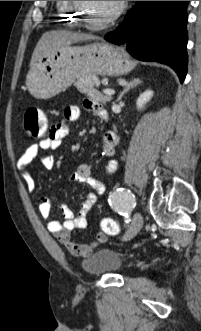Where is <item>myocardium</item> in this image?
I'll list each match as a JSON object with an SVG mask.
<instances>
[{
    "instance_id": "myocardium-1",
    "label": "myocardium",
    "mask_w": 201,
    "mask_h": 331,
    "mask_svg": "<svg viewBox=\"0 0 201 331\" xmlns=\"http://www.w3.org/2000/svg\"><path fill=\"white\" fill-rule=\"evenodd\" d=\"M72 5L77 10V13H78L77 17H80L81 23H83L85 25L93 26V27H106V26L110 25L111 23H113L122 14V12L125 8V1H119L118 6L115 9V11L112 14H110L108 17H106L104 20L100 21L98 24H93L85 18V16H84L85 6L82 1H72Z\"/></svg>"
}]
</instances>
